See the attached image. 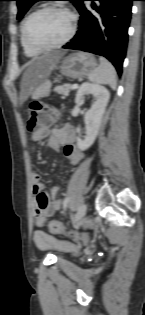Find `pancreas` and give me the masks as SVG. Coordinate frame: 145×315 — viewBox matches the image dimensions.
<instances>
[{
    "label": "pancreas",
    "instance_id": "1",
    "mask_svg": "<svg viewBox=\"0 0 145 315\" xmlns=\"http://www.w3.org/2000/svg\"><path fill=\"white\" fill-rule=\"evenodd\" d=\"M71 84L70 83H65L63 85H58L54 88V92L62 95H68L70 89H71Z\"/></svg>",
    "mask_w": 145,
    "mask_h": 315
}]
</instances>
